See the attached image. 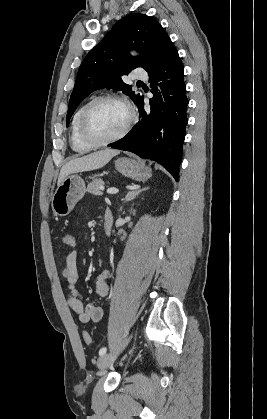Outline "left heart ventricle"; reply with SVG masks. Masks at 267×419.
Segmentation results:
<instances>
[{"mask_svg": "<svg viewBox=\"0 0 267 419\" xmlns=\"http://www.w3.org/2000/svg\"><path fill=\"white\" fill-rule=\"evenodd\" d=\"M128 119L126 107L115 101L97 104L87 118V131L95 139H108L121 131Z\"/></svg>", "mask_w": 267, "mask_h": 419, "instance_id": "b2bd125f", "label": "left heart ventricle"}]
</instances>
